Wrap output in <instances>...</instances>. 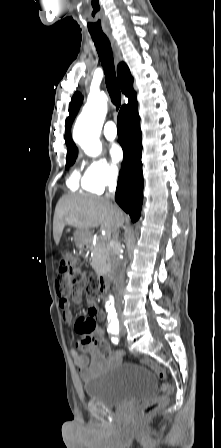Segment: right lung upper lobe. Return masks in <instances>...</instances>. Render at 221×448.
<instances>
[{"instance_id":"1","label":"right lung upper lobe","mask_w":221,"mask_h":448,"mask_svg":"<svg viewBox=\"0 0 221 448\" xmlns=\"http://www.w3.org/2000/svg\"><path fill=\"white\" fill-rule=\"evenodd\" d=\"M117 76L122 92L128 97L129 102L127 105L131 104L136 100V93L133 90V78L130 71L125 63H120L117 69ZM82 96L80 93H76L70 102L69 116L65 121L66 132H65V143L68 147L67 155L78 153L75 143L71 138V125L78 112L80 104L82 103ZM124 105L122 107H125Z\"/></svg>"}]
</instances>
